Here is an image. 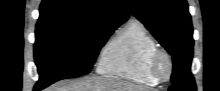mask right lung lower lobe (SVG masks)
I'll return each instance as SVG.
<instances>
[{
    "label": "right lung lower lobe",
    "instance_id": "98d812e1",
    "mask_svg": "<svg viewBox=\"0 0 220 91\" xmlns=\"http://www.w3.org/2000/svg\"><path fill=\"white\" fill-rule=\"evenodd\" d=\"M43 88H45V86H38V85H36L35 88H34V90H35V91H38V90H41V89H43Z\"/></svg>",
    "mask_w": 220,
    "mask_h": 91
}]
</instances>
